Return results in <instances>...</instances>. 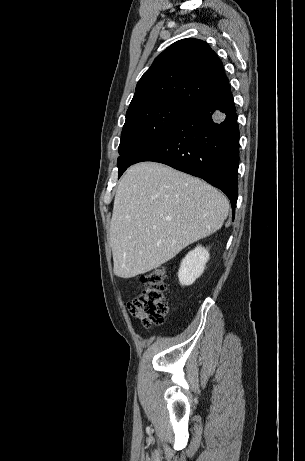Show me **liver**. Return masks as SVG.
<instances>
[{"mask_svg": "<svg viewBox=\"0 0 305 461\" xmlns=\"http://www.w3.org/2000/svg\"><path fill=\"white\" fill-rule=\"evenodd\" d=\"M228 212L227 198L198 178L153 162L130 167L110 224L114 274L132 278L158 268L219 230Z\"/></svg>", "mask_w": 305, "mask_h": 461, "instance_id": "obj_1", "label": "liver"}]
</instances>
